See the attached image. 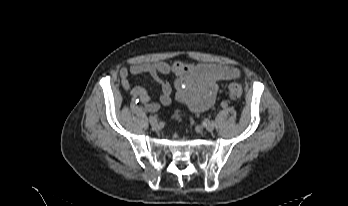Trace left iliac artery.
Masks as SVG:
<instances>
[{
	"label": "left iliac artery",
	"mask_w": 348,
	"mask_h": 206,
	"mask_svg": "<svg viewBox=\"0 0 348 206\" xmlns=\"http://www.w3.org/2000/svg\"><path fill=\"white\" fill-rule=\"evenodd\" d=\"M221 106L224 110H227L231 106V103L229 101H221Z\"/></svg>",
	"instance_id": "obj_1"
}]
</instances>
